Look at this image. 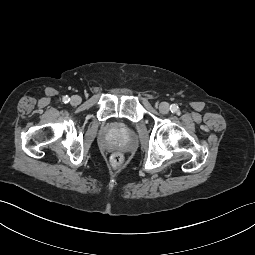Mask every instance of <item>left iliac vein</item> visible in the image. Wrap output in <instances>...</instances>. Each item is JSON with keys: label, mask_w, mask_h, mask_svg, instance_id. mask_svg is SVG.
Masks as SVG:
<instances>
[{"label": "left iliac vein", "mask_w": 255, "mask_h": 255, "mask_svg": "<svg viewBox=\"0 0 255 255\" xmlns=\"http://www.w3.org/2000/svg\"><path fill=\"white\" fill-rule=\"evenodd\" d=\"M170 110V106L167 102H161L160 105H159V111L162 113V114H167Z\"/></svg>", "instance_id": "4c4485c4"}]
</instances>
